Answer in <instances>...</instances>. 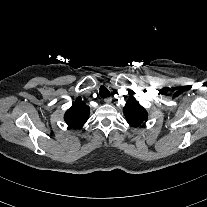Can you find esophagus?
I'll return each mask as SVG.
<instances>
[{
	"instance_id": "1",
	"label": "esophagus",
	"mask_w": 207,
	"mask_h": 207,
	"mask_svg": "<svg viewBox=\"0 0 207 207\" xmlns=\"http://www.w3.org/2000/svg\"><path fill=\"white\" fill-rule=\"evenodd\" d=\"M111 101H112V98L111 97H106L104 99V102L107 103V104L111 103Z\"/></svg>"
}]
</instances>
